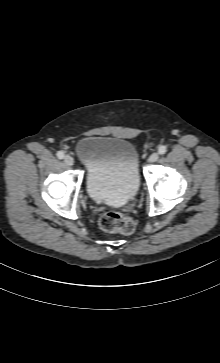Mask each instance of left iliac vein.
<instances>
[{"mask_svg":"<svg viewBox=\"0 0 220 363\" xmlns=\"http://www.w3.org/2000/svg\"><path fill=\"white\" fill-rule=\"evenodd\" d=\"M158 158H159L158 153H152V154L150 155V157H149L148 161H149V162H155V161H157V160H158Z\"/></svg>","mask_w":220,"mask_h":363,"instance_id":"4c4485c4","label":"left iliac vein"}]
</instances>
